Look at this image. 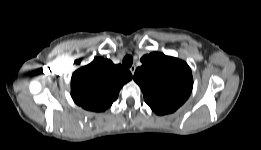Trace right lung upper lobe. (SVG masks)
I'll use <instances>...</instances> for the list:
<instances>
[{"instance_id": "obj_1", "label": "right lung upper lobe", "mask_w": 261, "mask_h": 150, "mask_svg": "<svg viewBox=\"0 0 261 150\" xmlns=\"http://www.w3.org/2000/svg\"><path fill=\"white\" fill-rule=\"evenodd\" d=\"M131 79L130 71L120 64L96 58L73 73L71 96L86 110L105 111L117 99L121 87Z\"/></svg>"}]
</instances>
